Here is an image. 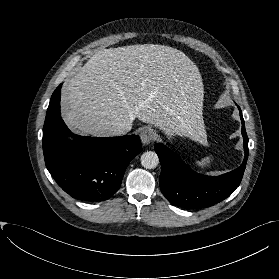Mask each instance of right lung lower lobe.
Instances as JSON below:
<instances>
[{
	"label": "right lung lower lobe",
	"mask_w": 279,
	"mask_h": 279,
	"mask_svg": "<svg viewBox=\"0 0 279 279\" xmlns=\"http://www.w3.org/2000/svg\"><path fill=\"white\" fill-rule=\"evenodd\" d=\"M59 85L51 96L43 127L45 164L57 184L71 197L96 202L111 198L120 188L131 160L142 151L138 135L84 137L74 140L60 115Z\"/></svg>",
	"instance_id": "obj_1"
}]
</instances>
